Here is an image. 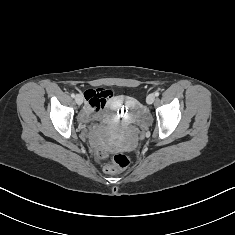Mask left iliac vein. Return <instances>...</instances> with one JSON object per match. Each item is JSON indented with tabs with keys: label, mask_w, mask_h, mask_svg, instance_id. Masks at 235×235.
Wrapping results in <instances>:
<instances>
[{
	"label": "left iliac vein",
	"mask_w": 235,
	"mask_h": 235,
	"mask_svg": "<svg viewBox=\"0 0 235 235\" xmlns=\"http://www.w3.org/2000/svg\"><path fill=\"white\" fill-rule=\"evenodd\" d=\"M155 100V95L154 94H149L146 98L147 104H152Z\"/></svg>",
	"instance_id": "1"
}]
</instances>
